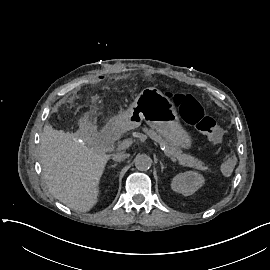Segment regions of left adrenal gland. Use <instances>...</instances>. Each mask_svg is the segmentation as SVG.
<instances>
[{
    "mask_svg": "<svg viewBox=\"0 0 270 270\" xmlns=\"http://www.w3.org/2000/svg\"><path fill=\"white\" fill-rule=\"evenodd\" d=\"M160 164H161V167H162V168H161V171H162V173H164V170H165V168H164V163L160 161Z\"/></svg>",
    "mask_w": 270,
    "mask_h": 270,
    "instance_id": "left-adrenal-gland-1",
    "label": "left adrenal gland"
}]
</instances>
